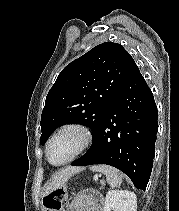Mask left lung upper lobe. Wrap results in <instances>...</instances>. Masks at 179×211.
<instances>
[{
    "instance_id": "obj_1",
    "label": "left lung upper lobe",
    "mask_w": 179,
    "mask_h": 211,
    "mask_svg": "<svg viewBox=\"0 0 179 211\" xmlns=\"http://www.w3.org/2000/svg\"><path fill=\"white\" fill-rule=\"evenodd\" d=\"M133 61L123 46L105 42L69 63L46 97L40 143L67 122L87 125L94 137Z\"/></svg>"
}]
</instances>
